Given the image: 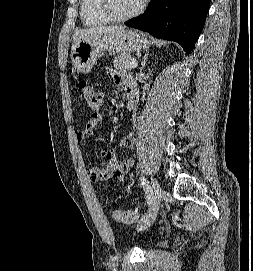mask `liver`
I'll list each match as a JSON object with an SVG mask.
<instances>
[{
	"mask_svg": "<svg viewBox=\"0 0 253 271\" xmlns=\"http://www.w3.org/2000/svg\"><path fill=\"white\" fill-rule=\"evenodd\" d=\"M124 26H100V27H91L88 29H82L74 33L73 35V41L74 44L80 40L89 37L90 35L93 34H100V33H108L112 31H121L124 30ZM73 44V46H74ZM72 46V48H73Z\"/></svg>",
	"mask_w": 253,
	"mask_h": 271,
	"instance_id": "obj_1",
	"label": "liver"
}]
</instances>
